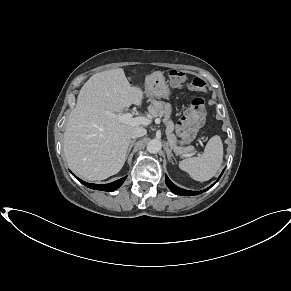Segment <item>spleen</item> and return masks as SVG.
Wrapping results in <instances>:
<instances>
[{
	"instance_id": "spleen-1",
	"label": "spleen",
	"mask_w": 291,
	"mask_h": 291,
	"mask_svg": "<svg viewBox=\"0 0 291 291\" xmlns=\"http://www.w3.org/2000/svg\"><path fill=\"white\" fill-rule=\"evenodd\" d=\"M222 160L223 144L221 138L215 135L206 144L202 155L180 161L179 167L194 180L204 182L215 176L222 164Z\"/></svg>"
}]
</instances>
